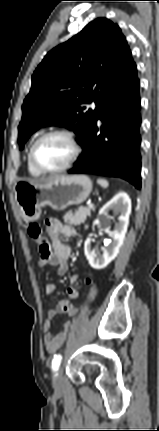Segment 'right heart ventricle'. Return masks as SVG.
<instances>
[{
  "label": "right heart ventricle",
  "instance_id": "right-heart-ventricle-1",
  "mask_svg": "<svg viewBox=\"0 0 159 431\" xmlns=\"http://www.w3.org/2000/svg\"><path fill=\"white\" fill-rule=\"evenodd\" d=\"M27 169H28L29 174H30V175H32V176H34V177H38V176H40V175H41V173H40V172H38V171L33 167V165L31 164L30 159H29V151H28V153H27Z\"/></svg>",
  "mask_w": 159,
  "mask_h": 431
}]
</instances>
